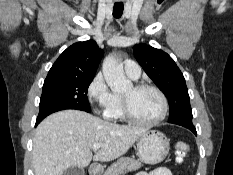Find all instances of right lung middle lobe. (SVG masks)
<instances>
[{
    "label": "right lung middle lobe",
    "instance_id": "dd1d6c3e",
    "mask_svg": "<svg viewBox=\"0 0 233 175\" xmlns=\"http://www.w3.org/2000/svg\"><path fill=\"white\" fill-rule=\"evenodd\" d=\"M93 78L94 76L45 79L37 118L65 109L90 112L87 91Z\"/></svg>",
    "mask_w": 233,
    "mask_h": 175
}]
</instances>
